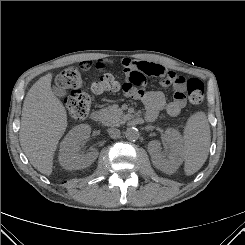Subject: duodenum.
Segmentation results:
<instances>
[{"label": "duodenum", "mask_w": 245, "mask_h": 245, "mask_svg": "<svg viewBox=\"0 0 245 245\" xmlns=\"http://www.w3.org/2000/svg\"><path fill=\"white\" fill-rule=\"evenodd\" d=\"M91 119H92V121H94L96 123H100L103 120V114L100 111H98V110L93 111L92 114H91ZM150 120H151V118L147 117V116H145V117L135 116V117H133L131 119V123L133 125H141L145 121H150Z\"/></svg>", "instance_id": "1"}]
</instances>
